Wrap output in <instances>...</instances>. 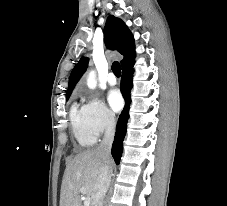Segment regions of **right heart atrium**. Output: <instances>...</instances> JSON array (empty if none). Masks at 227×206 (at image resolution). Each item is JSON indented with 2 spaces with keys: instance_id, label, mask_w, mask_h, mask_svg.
<instances>
[{
  "instance_id": "right-heart-atrium-1",
  "label": "right heart atrium",
  "mask_w": 227,
  "mask_h": 206,
  "mask_svg": "<svg viewBox=\"0 0 227 206\" xmlns=\"http://www.w3.org/2000/svg\"><path fill=\"white\" fill-rule=\"evenodd\" d=\"M83 110L87 125L96 137L114 128L115 116L102 100L96 97L87 98L83 105Z\"/></svg>"
}]
</instances>
